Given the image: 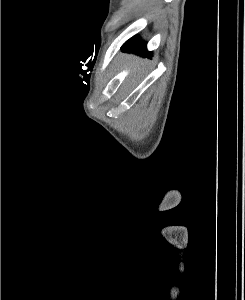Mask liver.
<instances>
[{
    "instance_id": "liver-1",
    "label": "liver",
    "mask_w": 245,
    "mask_h": 300,
    "mask_svg": "<svg viewBox=\"0 0 245 300\" xmlns=\"http://www.w3.org/2000/svg\"><path fill=\"white\" fill-rule=\"evenodd\" d=\"M142 65H143V61L140 62V64L137 66V68L139 69Z\"/></svg>"
}]
</instances>
